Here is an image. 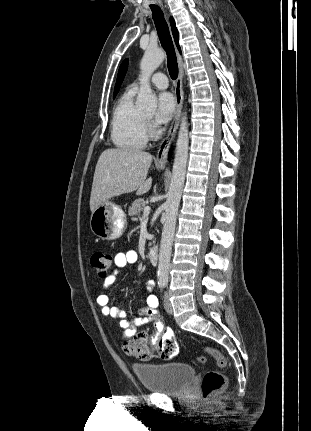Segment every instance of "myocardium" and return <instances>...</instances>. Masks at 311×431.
I'll list each match as a JSON object with an SVG mask.
<instances>
[{"label":"myocardium","instance_id":"1","mask_svg":"<svg viewBox=\"0 0 311 431\" xmlns=\"http://www.w3.org/2000/svg\"><path fill=\"white\" fill-rule=\"evenodd\" d=\"M145 118V123H146V130H147V139H152L154 138V132H153V128L151 125V119L147 116L144 117Z\"/></svg>","mask_w":311,"mask_h":431}]
</instances>
